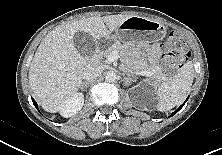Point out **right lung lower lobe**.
Returning a JSON list of instances; mask_svg holds the SVG:
<instances>
[{
    "mask_svg": "<svg viewBox=\"0 0 222 155\" xmlns=\"http://www.w3.org/2000/svg\"><path fill=\"white\" fill-rule=\"evenodd\" d=\"M32 101H33V104H34V106L37 108V110H38V105H37V103H36V101L32 98Z\"/></svg>",
    "mask_w": 222,
    "mask_h": 155,
    "instance_id": "98d812e1",
    "label": "right lung lower lobe"
}]
</instances>
